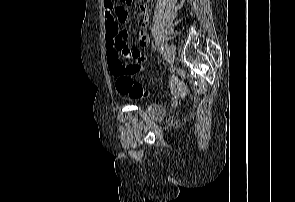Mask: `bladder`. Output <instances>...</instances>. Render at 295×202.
<instances>
[{"label":"bladder","mask_w":295,"mask_h":202,"mask_svg":"<svg viewBox=\"0 0 295 202\" xmlns=\"http://www.w3.org/2000/svg\"><path fill=\"white\" fill-rule=\"evenodd\" d=\"M146 114L156 120H160L165 117L166 111L162 105L153 102L147 105L145 109Z\"/></svg>","instance_id":"1"}]
</instances>
